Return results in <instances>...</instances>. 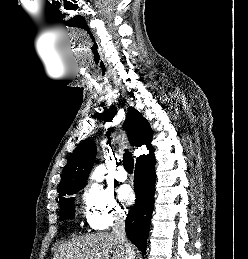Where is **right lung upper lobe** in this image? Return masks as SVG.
<instances>
[{
	"label": "right lung upper lobe",
	"instance_id": "1",
	"mask_svg": "<svg viewBox=\"0 0 248 259\" xmlns=\"http://www.w3.org/2000/svg\"><path fill=\"white\" fill-rule=\"evenodd\" d=\"M123 127L129 131L128 135L132 145L145 144L149 149L148 155L153 154L154 149L150 143L153 133L148 121L139 111L129 107ZM95 156L96 145L93 140L86 139L77 146L64 169L59 187L60 197L71 190L83 188L86 185Z\"/></svg>",
	"mask_w": 248,
	"mask_h": 259
}]
</instances>
